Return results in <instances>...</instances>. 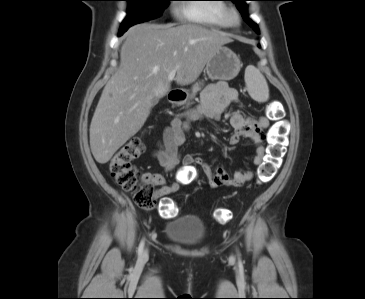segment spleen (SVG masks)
Wrapping results in <instances>:
<instances>
[{"label":"spleen","mask_w":365,"mask_h":299,"mask_svg":"<svg viewBox=\"0 0 365 299\" xmlns=\"http://www.w3.org/2000/svg\"><path fill=\"white\" fill-rule=\"evenodd\" d=\"M245 83L252 99L257 102H266L269 98V88L263 74L253 65L245 69Z\"/></svg>","instance_id":"obj_1"}]
</instances>
